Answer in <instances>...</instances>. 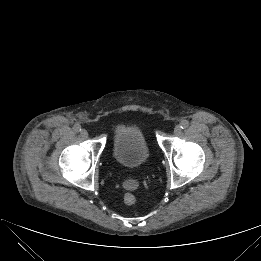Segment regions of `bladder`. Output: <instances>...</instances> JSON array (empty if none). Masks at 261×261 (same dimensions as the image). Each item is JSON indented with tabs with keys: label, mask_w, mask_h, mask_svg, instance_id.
Here are the masks:
<instances>
[{
	"label": "bladder",
	"mask_w": 261,
	"mask_h": 261,
	"mask_svg": "<svg viewBox=\"0 0 261 261\" xmlns=\"http://www.w3.org/2000/svg\"><path fill=\"white\" fill-rule=\"evenodd\" d=\"M113 157L123 168L141 169L148 159V147L141 127L136 123L118 126L113 134Z\"/></svg>",
	"instance_id": "obj_1"
}]
</instances>
